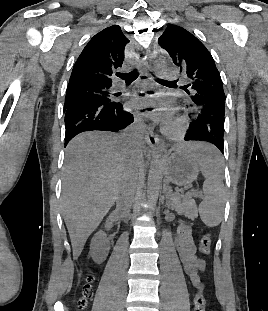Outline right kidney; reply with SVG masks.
<instances>
[{
  "mask_svg": "<svg viewBox=\"0 0 268 311\" xmlns=\"http://www.w3.org/2000/svg\"><path fill=\"white\" fill-rule=\"evenodd\" d=\"M110 243L103 231L97 232L91 240L90 255L94 262L102 263L106 260Z\"/></svg>",
  "mask_w": 268,
  "mask_h": 311,
  "instance_id": "right-kidney-1",
  "label": "right kidney"
}]
</instances>
